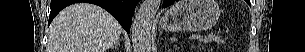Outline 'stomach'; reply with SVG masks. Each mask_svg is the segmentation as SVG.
Listing matches in <instances>:
<instances>
[{
	"mask_svg": "<svg viewBox=\"0 0 305 52\" xmlns=\"http://www.w3.org/2000/svg\"><path fill=\"white\" fill-rule=\"evenodd\" d=\"M220 16L215 0H180L161 18L160 26L169 32H193L212 28Z\"/></svg>",
	"mask_w": 305,
	"mask_h": 52,
	"instance_id": "0dacf381",
	"label": "stomach"
}]
</instances>
